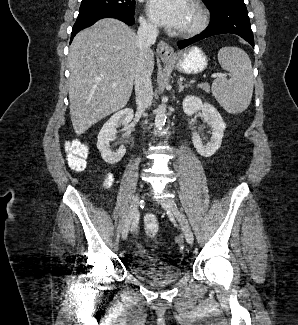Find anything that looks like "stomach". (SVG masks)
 Returning a JSON list of instances; mask_svg holds the SVG:
<instances>
[{"instance_id":"obj_1","label":"stomach","mask_w":298,"mask_h":325,"mask_svg":"<svg viewBox=\"0 0 298 325\" xmlns=\"http://www.w3.org/2000/svg\"><path fill=\"white\" fill-rule=\"evenodd\" d=\"M165 64H173L178 72L184 74H199L208 66V56L200 46H189L176 52L174 58H161Z\"/></svg>"}]
</instances>
